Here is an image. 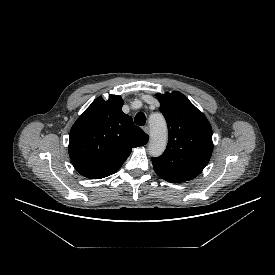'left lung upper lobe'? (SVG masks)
<instances>
[{"instance_id": "5c2ea615", "label": "left lung upper lobe", "mask_w": 275, "mask_h": 275, "mask_svg": "<svg viewBox=\"0 0 275 275\" xmlns=\"http://www.w3.org/2000/svg\"><path fill=\"white\" fill-rule=\"evenodd\" d=\"M156 96L168 125L169 139L164 153L152 158L154 170L189 181L202 172L212 155L211 125L182 93Z\"/></svg>"}]
</instances>
